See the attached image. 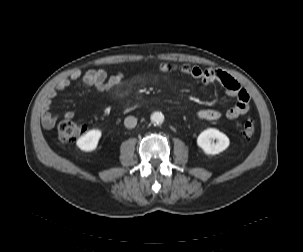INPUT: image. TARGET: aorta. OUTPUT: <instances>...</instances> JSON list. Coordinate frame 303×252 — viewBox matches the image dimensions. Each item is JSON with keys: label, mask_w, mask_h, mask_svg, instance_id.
Listing matches in <instances>:
<instances>
[{"label": "aorta", "mask_w": 303, "mask_h": 252, "mask_svg": "<svg viewBox=\"0 0 303 252\" xmlns=\"http://www.w3.org/2000/svg\"><path fill=\"white\" fill-rule=\"evenodd\" d=\"M151 122L154 124V125H159V124H162L163 121H164V116L161 112H154L152 115H151Z\"/></svg>", "instance_id": "1"}]
</instances>
